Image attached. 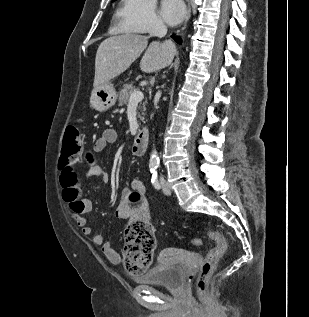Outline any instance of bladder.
<instances>
[{"mask_svg": "<svg viewBox=\"0 0 309 317\" xmlns=\"http://www.w3.org/2000/svg\"><path fill=\"white\" fill-rule=\"evenodd\" d=\"M183 281V269L178 263H159L135 277V282L138 284L158 285L167 289H179Z\"/></svg>", "mask_w": 309, "mask_h": 317, "instance_id": "bladder-1", "label": "bladder"}]
</instances>
